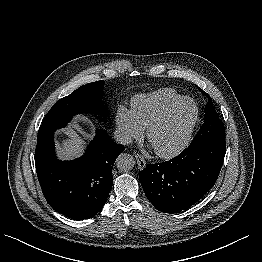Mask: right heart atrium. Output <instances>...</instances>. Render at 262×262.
Wrapping results in <instances>:
<instances>
[{"instance_id": "d8ad5b80", "label": "right heart atrium", "mask_w": 262, "mask_h": 262, "mask_svg": "<svg viewBox=\"0 0 262 262\" xmlns=\"http://www.w3.org/2000/svg\"><path fill=\"white\" fill-rule=\"evenodd\" d=\"M116 132L123 143H130L143 135V129L135 120L132 112L119 106L116 113Z\"/></svg>"}]
</instances>
